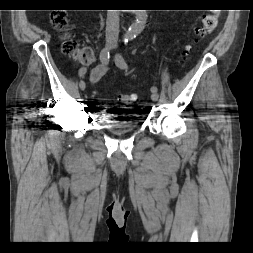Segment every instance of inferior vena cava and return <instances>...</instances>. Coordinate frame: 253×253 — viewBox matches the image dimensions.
I'll return each instance as SVG.
<instances>
[{"instance_id": "1", "label": "inferior vena cava", "mask_w": 253, "mask_h": 253, "mask_svg": "<svg viewBox=\"0 0 253 253\" xmlns=\"http://www.w3.org/2000/svg\"><path fill=\"white\" fill-rule=\"evenodd\" d=\"M106 38L117 39L119 34V10H107Z\"/></svg>"}]
</instances>
